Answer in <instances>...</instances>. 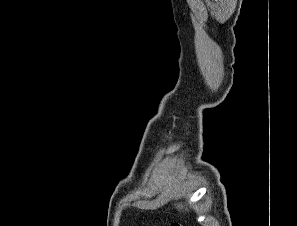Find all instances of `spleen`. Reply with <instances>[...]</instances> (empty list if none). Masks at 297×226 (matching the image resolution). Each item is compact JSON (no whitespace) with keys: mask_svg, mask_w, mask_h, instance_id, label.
I'll return each mask as SVG.
<instances>
[{"mask_svg":"<svg viewBox=\"0 0 297 226\" xmlns=\"http://www.w3.org/2000/svg\"><path fill=\"white\" fill-rule=\"evenodd\" d=\"M177 208L181 209L182 208V205L181 204H178L177 205Z\"/></svg>","mask_w":297,"mask_h":226,"instance_id":"spleen-1","label":"spleen"}]
</instances>
